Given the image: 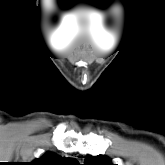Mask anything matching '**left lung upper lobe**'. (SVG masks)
I'll return each mask as SVG.
<instances>
[{
  "instance_id": "5c2ea615",
  "label": "left lung upper lobe",
  "mask_w": 165,
  "mask_h": 165,
  "mask_svg": "<svg viewBox=\"0 0 165 165\" xmlns=\"http://www.w3.org/2000/svg\"><path fill=\"white\" fill-rule=\"evenodd\" d=\"M85 165H114L107 156L87 155Z\"/></svg>"
}]
</instances>
